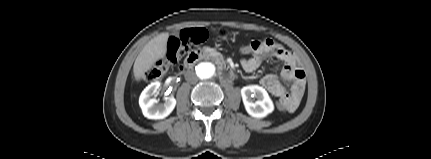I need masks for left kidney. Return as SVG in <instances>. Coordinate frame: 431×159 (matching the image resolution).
Wrapping results in <instances>:
<instances>
[{
  "instance_id": "obj_1",
  "label": "left kidney",
  "mask_w": 431,
  "mask_h": 159,
  "mask_svg": "<svg viewBox=\"0 0 431 159\" xmlns=\"http://www.w3.org/2000/svg\"><path fill=\"white\" fill-rule=\"evenodd\" d=\"M243 104L247 113L255 118H264L274 110V104L267 91L259 85H249L241 89ZM254 98L257 100L254 102Z\"/></svg>"
}]
</instances>
